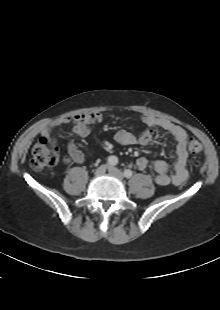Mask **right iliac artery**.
Segmentation results:
<instances>
[{
	"label": "right iliac artery",
	"mask_w": 220,
	"mask_h": 310,
	"mask_svg": "<svg viewBox=\"0 0 220 310\" xmlns=\"http://www.w3.org/2000/svg\"><path fill=\"white\" fill-rule=\"evenodd\" d=\"M108 164L111 166H115L118 163V158L116 156H110L107 160Z\"/></svg>",
	"instance_id": "right-iliac-artery-1"
}]
</instances>
